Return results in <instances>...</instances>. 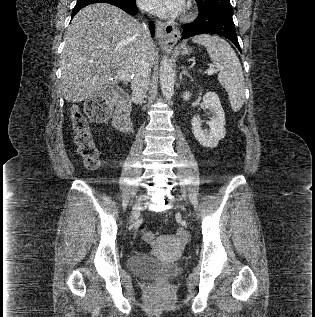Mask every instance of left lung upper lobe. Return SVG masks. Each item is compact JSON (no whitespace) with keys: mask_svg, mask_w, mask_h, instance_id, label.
<instances>
[{"mask_svg":"<svg viewBox=\"0 0 315 317\" xmlns=\"http://www.w3.org/2000/svg\"><path fill=\"white\" fill-rule=\"evenodd\" d=\"M200 10L213 13H233L230 0H196Z\"/></svg>","mask_w":315,"mask_h":317,"instance_id":"5c2ea615","label":"left lung upper lobe"}]
</instances>
